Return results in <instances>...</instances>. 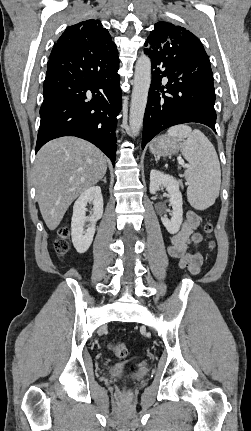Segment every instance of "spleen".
<instances>
[{"mask_svg": "<svg viewBox=\"0 0 251 431\" xmlns=\"http://www.w3.org/2000/svg\"><path fill=\"white\" fill-rule=\"evenodd\" d=\"M167 136L181 142L182 155L189 162L184 177L190 205L197 210L213 205L221 184V169L214 146L200 130H192L184 124L168 129Z\"/></svg>", "mask_w": 251, "mask_h": 431, "instance_id": "1", "label": "spleen"}]
</instances>
